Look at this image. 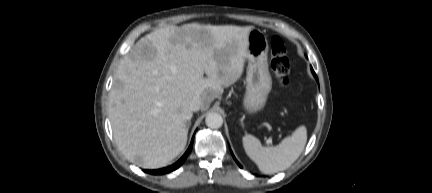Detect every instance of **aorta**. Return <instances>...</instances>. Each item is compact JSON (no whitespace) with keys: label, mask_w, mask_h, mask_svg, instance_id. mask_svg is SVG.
<instances>
[{"label":"aorta","mask_w":432,"mask_h":193,"mask_svg":"<svg viewBox=\"0 0 432 193\" xmlns=\"http://www.w3.org/2000/svg\"><path fill=\"white\" fill-rule=\"evenodd\" d=\"M205 123L211 129H218L223 124V118L219 113L211 112L207 114Z\"/></svg>","instance_id":"762f6f07"}]
</instances>
